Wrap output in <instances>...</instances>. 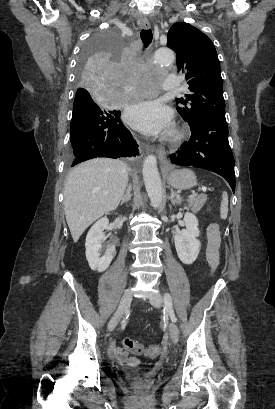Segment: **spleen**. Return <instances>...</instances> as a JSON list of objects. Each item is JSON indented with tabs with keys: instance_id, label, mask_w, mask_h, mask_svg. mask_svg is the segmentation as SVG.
Returning a JSON list of instances; mask_svg holds the SVG:
<instances>
[{
	"instance_id": "obj_1",
	"label": "spleen",
	"mask_w": 275,
	"mask_h": 409,
	"mask_svg": "<svg viewBox=\"0 0 275 409\" xmlns=\"http://www.w3.org/2000/svg\"><path fill=\"white\" fill-rule=\"evenodd\" d=\"M228 215V194L226 190H223L222 200L220 205V217L221 219H227Z\"/></svg>"
}]
</instances>
